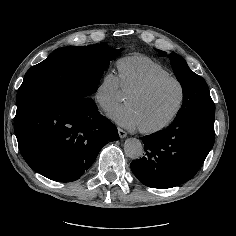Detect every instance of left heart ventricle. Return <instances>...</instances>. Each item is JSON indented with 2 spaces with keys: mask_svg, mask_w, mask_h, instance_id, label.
<instances>
[{
  "mask_svg": "<svg viewBox=\"0 0 236 236\" xmlns=\"http://www.w3.org/2000/svg\"><path fill=\"white\" fill-rule=\"evenodd\" d=\"M180 100V89L166 82L144 96L128 97V105L137 113L140 127H153L168 119Z\"/></svg>",
  "mask_w": 236,
  "mask_h": 236,
  "instance_id": "b2bd125f",
  "label": "left heart ventricle"
}]
</instances>
